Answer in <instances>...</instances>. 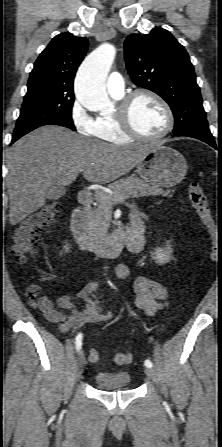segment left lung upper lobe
<instances>
[{
	"mask_svg": "<svg viewBox=\"0 0 222 447\" xmlns=\"http://www.w3.org/2000/svg\"><path fill=\"white\" fill-rule=\"evenodd\" d=\"M125 60L132 81L160 95L171 107L174 135L213 139L195 72L184 47L160 27L125 40Z\"/></svg>",
	"mask_w": 222,
	"mask_h": 447,
	"instance_id": "5c2ea615",
	"label": "left lung upper lobe"
}]
</instances>
